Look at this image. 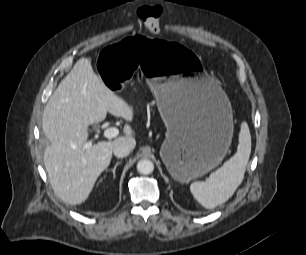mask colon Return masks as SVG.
<instances>
[{"label":"colon","mask_w":306,"mask_h":255,"mask_svg":"<svg viewBox=\"0 0 306 255\" xmlns=\"http://www.w3.org/2000/svg\"><path fill=\"white\" fill-rule=\"evenodd\" d=\"M163 14V8L160 5L145 6L140 10V17L145 26L154 33L159 31V21Z\"/></svg>","instance_id":"colon-1"}]
</instances>
